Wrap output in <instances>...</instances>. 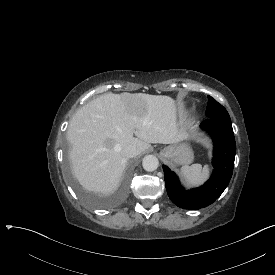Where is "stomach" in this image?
I'll use <instances>...</instances> for the list:
<instances>
[{
	"instance_id": "obj_1",
	"label": "stomach",
	"mask_w": 275,
	"mask_h": 275,
	"mask_svg": "<svg viewBox=\"0 0 275 275\" xmlns=\"http://www.w3.org/2000/svg\"><path fill=\"white\" fill-rule=\"evenodd\" d=\"M160 154L162 158L171 160L176 165H187L194 159L193 150L188 143L169 145Z\"/></svg>"
}]
</instances>
